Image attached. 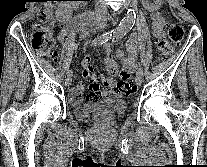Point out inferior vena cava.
<instances>
[{"label": "inferior vena cava", "mask_w": 207, "mask_h": 167, "mask_svg": "<svg viewBox=\"0 0 207 167\" xmlns=\"http://www.w3.org/2000/svg\"><path fill=\"white\" fill-rule=\"evenodd\" d=\"M97 12L103 16H105L107 14V7L105 4H100L97 6Z\"/></svg>", "instance_id": "1"}]
</instances>
